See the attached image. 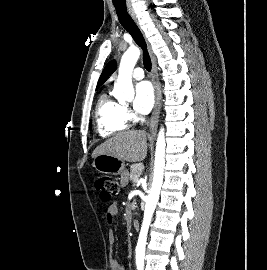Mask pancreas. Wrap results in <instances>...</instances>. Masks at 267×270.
I'll return each mask as SVG.
<instances>
[{"label":"pancreas","instance_id":"obj_1","mask_svg":"<svg viewBox=\"0 0 267 270\" xmlns=\"http://www.w3.org/2000/svg\"><path fill=\"white\" fill-rule=\"evenodd\" d=\"M144 169V166L142 163L139 164H133L130 167V180L135 183L136 179L139 178V176L142 174Z\"/></svg>","mask_w":267,"mask_h":270}]
</instances>
